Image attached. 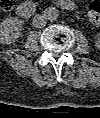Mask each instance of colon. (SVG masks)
Listing matches in <instances>:
<instances>
[{
    "instance_id": "1",
    "label": "colon",
    "mask_w": 100,
    "mask_h": 118,
    "mask_svg": "<svg viewBox=\"0 0 100 118\" xmlns=\"http://www.w3.org/2000/svg\"><path fill=\"white\" fill-rule=\"evenodd\" d=\"M13 5V0H2L1 7L3 11H8ZM88 11L93 23H98L100 20V5L98 2L93 1L88 4Z\"/></svg>"
}]
</instances>
